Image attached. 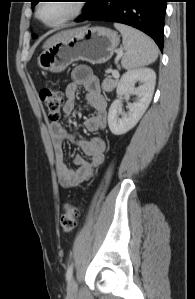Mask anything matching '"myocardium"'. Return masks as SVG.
I'll return each mask as SVG.
<instances>
[{
  "label": "myocardium",
  "mask_w": 195,
  "mask_h": 299,
  "mask_svg": "<svg viewBox=\"0 0 195 299\" xmlns=\"http://www.w3.org/2000/svg\"><path fill=\"white\" fill-rule=\"evenodd\" d=\"M69 2H70V4H72L71 12L66 17H64L63 19H61L55 23H47L40 16V9H41L43 3H45V1H40V3L37 4L36 12H35L36 17L41 23H43L47 27L54 28V27L62 26L64 24L76 19L82 13V11L84 9V3H82L81 0H70Z\"/></svg>",
  "instance_id": "obj_1"
}]
</instances>
